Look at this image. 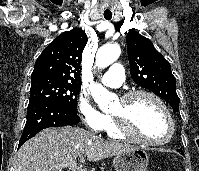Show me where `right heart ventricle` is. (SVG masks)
Wrapping results in <instances>:
<instances>
[{"instance_id":"1","label":"right heart ventricle","mask_w":199,"mask_h":171,"mask_svg":"<svg viewBox=\"0 0 199 171\" xmlns=\"http://www.w3.org/2000/svg\"><path fill=\"white\" fill-rule=\"evenodd\" d=\"M106 134L112 139H124L126 136L121 134L115 126L114 120L111 116L107 115V124L104 128Z\"/></svg>"}]
</instances>
